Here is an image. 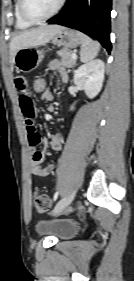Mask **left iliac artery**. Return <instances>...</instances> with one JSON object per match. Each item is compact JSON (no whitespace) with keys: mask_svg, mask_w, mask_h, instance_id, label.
<instances>
[{"mask_svg":"<svg viewBox=\"0 0 134 281\" xmlns=\"http://www.w3.org/2000/svg\"><path fill=\"white\" fill-rule=\"evenodd\" d=\"M58 195H59V191H57V192L54 194L53 201H56V200H57Z\"/></svg>","mask_w":134,"mask_h":281,"instance_id":"1","label":"left iliac artery"}]
</instances>
